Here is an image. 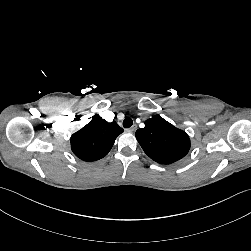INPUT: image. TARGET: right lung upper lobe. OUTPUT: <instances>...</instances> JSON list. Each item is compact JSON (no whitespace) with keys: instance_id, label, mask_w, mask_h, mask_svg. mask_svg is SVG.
Segmentation results:
<instances>
[{"instance_id":"right-lung-upper-lobe-1","label":"right lung upper lobe","mask_w":251,"mask_h":251,"mask_svg":"<svg viewBox=\"0 0 251 251\" xmlns=\"http://www.w3.org/2000/svg\"><path fill=\"white\" fill-rule=\"evenodd\" d=\"M122 132L123 129L116 122L109 123L95 115L87 125L71 136V149L81 160L96 161L108 154Z\"/></svg>"}]
</instances>
